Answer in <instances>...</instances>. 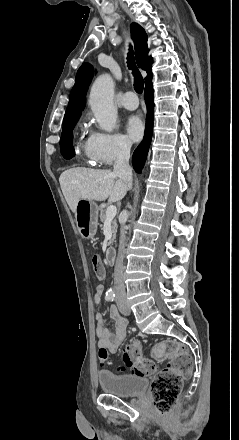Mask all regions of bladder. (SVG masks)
Segmentation results:
<instances>
[{
	"label": "bladder",
	"instance_id": "1",
	"mask_svg": "<svg viewBox=\"0 0 239 440\" xmlns=\"http://www.w3.org/2000/svg\"><path fill=\"white\" fill-rule=\"evenodd\" d=\"M101 389L118 397H135L144 393L148 387V379L131 375H117L107 370L97 374Z\"/></svg>",
	"mask_w": 239,
	"mask_h": 440
}]
</instances>
